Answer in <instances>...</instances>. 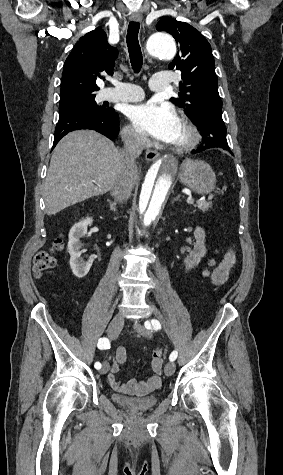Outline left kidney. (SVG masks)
Listing matches in <instances>:
<instances>
[{
	"label": "left kidney",
	"instance_id": "5707ae66",
	"mask_svg": "<svg viewBox=\"0 0 283 475\" xmlns=\"http://www.w3.org/2000/svg\"><path fill=\"white\" fill-rule=\"evenodd\" d=\"M194 238L196 239V243L192 251H190L189 255L184 259L186 269H191L194 265H198L201 257H204L207 251L205 245V232L203 228H196Z\"/></svg>",
	"mask_w": 283,
	"mask_h": 475
}]
</instances>
